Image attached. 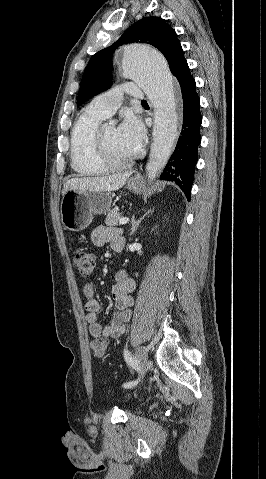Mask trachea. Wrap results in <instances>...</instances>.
I'll return each instance as SVG.
<instances>
[{"instance_id": "1", "label": "trachea", "mask_w": 266, "mask_h": 479, "mask_svg": "<svg viewBox=\"0 0 266 479\" xmlns=\"http://www.w3.org/2000/svg\"><path fill=\"white\" fill-rule=\"evenodd\" d=\"M141 103H146V101H145V100H142Z\"/></svg>"}]
</instances>
